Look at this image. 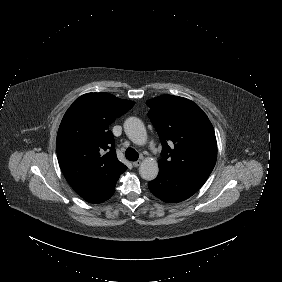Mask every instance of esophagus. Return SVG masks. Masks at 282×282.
<instances>
[{"instance_id": "34e87169", "label": "esophagus", "mask_w": 282, "mask_h": 282, "mask_svg": "<svg viewBox=\"0 0 282 282\" xmlns=\"http://www.w3.org/2000/svg\"><path fill=\"white\" fill-rule=\"evenodd\" d=\"M141 165V160H137V161H134L133 162V166L134 167H138V166H140Z\"/></svg>"}]
</instances>
